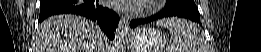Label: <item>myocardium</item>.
Segmentation results:
<instances>
[{
  "instance_id": "myocardium-1",
  "label": "myocardium",
  "mask_w": 261,
  "mask_h": 52,
  "mask_svg": "<svg viewBox=\"0 0 261 52\" xmlns=\"http://www.w3.org/2000/svg\"><path fill=\"white\" fill-rule=\"evenodd\" d=\"M160 1H149L145 6H141L134 11L137 13H143L144 11L156 10Z\"/></svg>"
}]
</instances>
